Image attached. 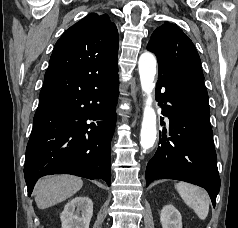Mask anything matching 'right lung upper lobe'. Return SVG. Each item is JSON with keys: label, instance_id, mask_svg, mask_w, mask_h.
Returning <instances> with one entry per match:
<instances>
[{"label": "right lung upper lobe", "instance_id": "right-lung-upper-lobe-1", "mask_svg": "<svg viewBox=\"0 0 238 228\" xmlns=\"http://www.w3.org/2000/svg\"><path fill=\"white\" fill-rule=\"evenodd\" d=\"M118 31L107 14L91 13L57 41L39 106L103 87L118 78Z\"/></svg>", "mask_w": 238, "mask_h": 228}]
</instances>
